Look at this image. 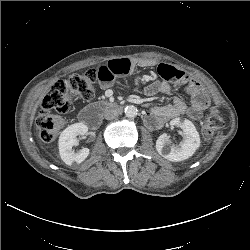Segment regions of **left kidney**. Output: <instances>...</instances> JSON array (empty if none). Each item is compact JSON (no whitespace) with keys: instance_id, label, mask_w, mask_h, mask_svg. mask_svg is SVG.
<instances>
[{"instance_id":"left-kidney-1","label":"left kidney","mask_w":250,"mask_h":250,"mask_svg":"<svg viewBox=\"0 0 250 250\" xmlns=\"http://www.w3.org/2000/svg\"><path fill=\"white\" fill-rule=\"evenodd\" d=\"M170 125L180 127L183 131L184 140L179 146L171 144L169 137L162 134L156 141V150L165 159L179 162L191 157L200 146V136L194 124L187 119L175 118Z\"/></svg>"}]
</instances>
